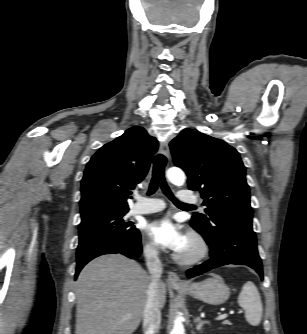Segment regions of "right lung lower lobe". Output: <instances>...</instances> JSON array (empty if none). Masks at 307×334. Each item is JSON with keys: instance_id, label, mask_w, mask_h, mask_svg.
I'll use <instances>...</instances> for the list:
<instances>
[{"instance_id": "98d812e1", "label": "right lung lower lobe", "mask_w": 307, "mask_h": 334, "mask_svg": "<svg viewBox=\"0 0 307 334\" xmlns=\"http://www.w3.org/2000/svg\"><path fill=\"white\" fill-rule=\"evenodd\" d=\"M121 253L131 259H137L140 254L142 253L141 248V237L139 236L134 242L121 246V247H110V248H102L96 251L89 253L88 255L82 257L81 259L77 260V267L75 278L78 276L80 270L83 268L85 264H87L90 260L104 254H117Z\"/></svg>"}]
</instances>
